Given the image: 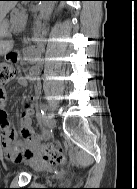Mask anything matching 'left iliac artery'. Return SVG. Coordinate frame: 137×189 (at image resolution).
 Returning a JSON list of instances; mask_svg holds the SVG:
<instances>
[{"instance_id": "obj_1", "label": "left iliac artery", "mask_w": 137, "mask_h": 189, "mask_svg": "<svg viewBox=\"0 0 137 189\" xmlns=\"http://www.w3.org/2000/svg\"><path fill=\"white\" fill-rule=\"evenodd\" d=\"M45 111H46V105H42L40 107L39 112L36 114L38 120L40 121V123L43 121V119L45 118ZM45 125H39V133L38 136H41L42 131H44Z\"/></svg>"}]
</instances>
